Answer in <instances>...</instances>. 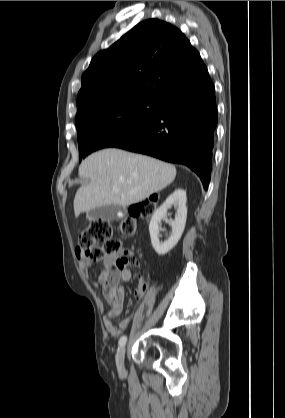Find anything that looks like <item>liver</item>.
<instances>
[{"label": "liver", "instance_id": "obj_1", "mask_svg": "<svg viewBox=\"0 0 285 418\" xmlns=\"http://www.w3.org/2000/svg\"><path fill=\"white\" fill-rule=\"evenodd\" d=\"M79 175L90 183L76 192V216L104 205L138 203L172 183L176 168L149 156L109 148L83 160Z\"/></svg>", "mask_w": 285, "mask_h": 418}]
</instances>
